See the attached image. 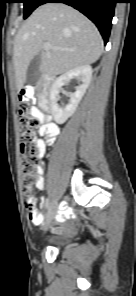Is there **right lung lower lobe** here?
<instances>
[{"instance_id":"1","label":"right lung lower lobe","mask_w":136,"mask_h":296,"mask_svg":"<svg viewBox=\"0 0 136 296\" xmlns=\"http://www.w3.org/2000/svg\"><path fill=\"white\" fill-rule=\"evenodd\" d=\"M118 0H44V3H65L86 15L98 27L104 42H108L115 4Z\"/></svg>"}]
</instances>
